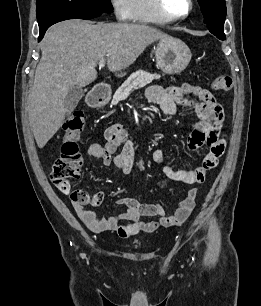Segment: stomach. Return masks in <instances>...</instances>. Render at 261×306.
<instances>
[{
    "mask_svg": "<svg viewBox=\"0 0 261 306\" xmlns=\"http://www.w3.org/2000/svg\"><path fill=\"white\" fill-rule=\"evenodd\" d=\"M191 57L189 47L174 37L160 39L155 51L158 67L168 74H179L184 71Z\"/></svg>",
    "mask_w": 261,
    "mask_h": 306,
    "instance_id": "stomach-1",
    "label": "stomach"
}]
</instances>
